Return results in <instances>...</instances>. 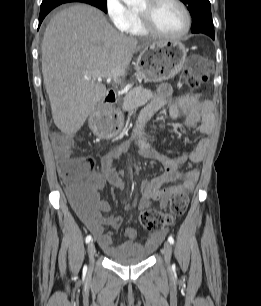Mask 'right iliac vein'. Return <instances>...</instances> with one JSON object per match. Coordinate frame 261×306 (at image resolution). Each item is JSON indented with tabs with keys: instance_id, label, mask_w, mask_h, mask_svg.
I'll list each match as a JSON object with an SVG mask.
<instances>
[{
	"instance_id": "right-iliac-vein-1",
	"label": "right iliac vein",
	"mask_w": 261,
	"mask_h": 306,
	"mask_svg": "<svg viewBox=\"0 0 261 306\" xmlns=\"http://www.w3.org/2000/svg\"><path fill=\"white\" fill-rule=\"evenodd\" d=\"M87 250H88L90 264L93 265L94 260H95V253H96V248H95V244L93 241L89 242Z\"/></svg>"
}]
</instances>
